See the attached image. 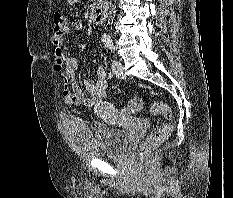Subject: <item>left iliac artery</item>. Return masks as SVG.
I'll return each mask as SVG.
<instances>
[{"mask_svg": "<svg viewBox=\"0 0 233 198\" xmlns=\"http://www.w3.org/2000/svg\"><path fill=\"white\" fill-rule=\"evenodd\" d=\"M106 46L112 51L114 49L112 40L106 41Z\"/></svg>", "mask_w": 233, "mask_h": 198, "instance_id": "left-iliac-artery-1", "label": "left iliac artery"}]
</instances>
